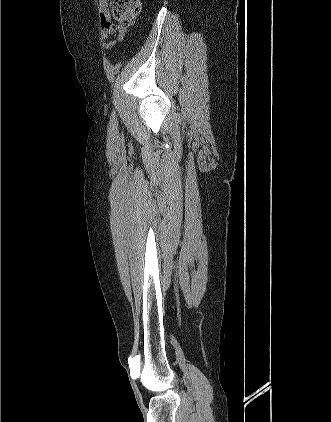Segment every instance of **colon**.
Masks as SVG:
<instances>
[{"label": "colon", "instance_id": "1", "mask_svg": "<svg viewBox=\"0 0 331 422\" xmlns=\"http://www.w3.org/2000/svg\"><path fill=\"white\" fill-rule=\"evenodd\" d=\"M112 17L123 26L134 23L141 10V0H108Z\"/></svg>", "mask_w": 331, "mask_h": 422}]
</instances>
